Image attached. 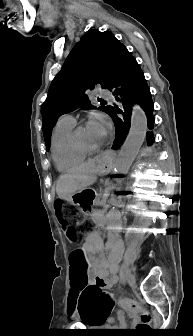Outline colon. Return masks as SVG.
Here are the masks:
<instances>
[{
  "mask_svg": "<svg viewBox=\"0 0 193 336\" xmlns=\"http://www.w3.org/2000/svg\"><path fill=\"white\" fill-rule=\"evenodd\" d=\"M56 210L59 222L65 230L67 238L71 242H77L79 239V226L74 225L72 221L79 219V213L64 202L58 203ZM71 273L76 281L73 287L77 290L74 301L78 304V312L83 318H88L89 298H107L103 290V283L97 281L94 284H88L86 264L80 251L73 253L71 256ZM124 305L131 311L139 314L140 324L134 329V332H143L150 327L152 315L142 305L129 300H125Z\"/></svg>",
  "mask_w": 193,
  "mask_h": 336,
  "instance_id": "5ec220e1",
  "label": "colon"
}]
</instances>
